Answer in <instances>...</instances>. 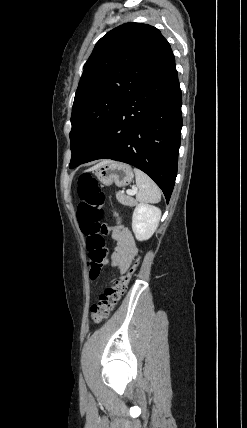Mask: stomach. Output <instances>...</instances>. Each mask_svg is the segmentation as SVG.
Returning a JSON list of instances; mask_svg holds the SVG:
<instances>
[{"label": "stomach", "mask_w": 247, "mask_h": 428, "mask_svg": "<svg viewBox=\"0 0 247 428\" xmlns=\"http://www.w3.org/2000/svg\"><path fill=\"white\" fill-rule=\"evenodd\" d=\"M94 174L105 186H110L114 183L118 187L129 185L134 177L130 165L116 161L100 165L94 169Z\"/></svg>", "instance_id": "1"}]
</instances>
